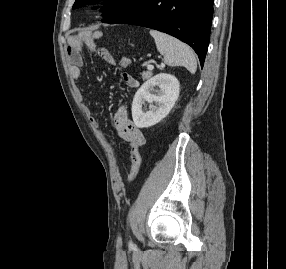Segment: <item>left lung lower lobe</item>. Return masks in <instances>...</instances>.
Here are the masks:
<instances>
[{"label":"left lung lower lobe","instance_id":"1","mask_svg":"<svg viewBox=\"0 0 286 269\" xmlns=\"http://www.w3.org/2000/svg\"><path fill=\"white\" fill-rule=\"evenodd\" d=\"M213 0H146L118 24H132L159 30L190 45L201 66L208 49Z\"/></svg>","mask_w":286,"mask_h":269}]
</instances>
